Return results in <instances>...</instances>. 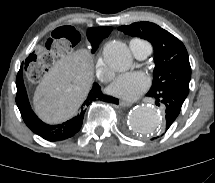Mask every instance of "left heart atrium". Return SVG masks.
Masks as SVG:
<instances>
[{"label":"left heart atrium","instance_id":"39dd6f15","mask_svg":"<svg viewBox=\"0 0 215 183\" xmlns=\"http://www.w3.org/2000/svg\"><path fill=\"white\" fill-rule=\"evenodd\" d=\"M150 80L142 72H130L118 76L110 85L109 91L114 96L133 101L149 87Z\"/></svg>","mask_w":215,"mask_h":183}]
</instances>
